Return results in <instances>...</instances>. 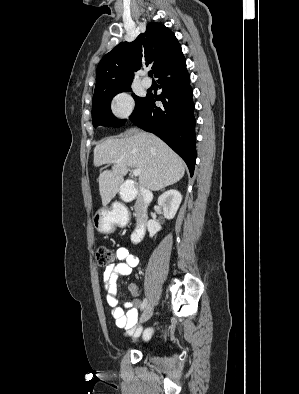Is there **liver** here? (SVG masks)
<instances>
[{"instance_id":"1","label":"liver","mask_w":299,"mask_h":394,"mask_svg":"<svg viewBox=\"0 0 299 394\" xmlns=\"http://www.w3.org/2000/svg\"><path fill=\"white\" fill-rule=\"evenodd\" d=\"M116 160V163L112 161ZM113 163L98 178L102 204L117 194L129 167L140 169L139 184L152 191L178 182L185 173L183 160L157 136L133 129L125 138H109L94 149V166Z\"/></svg>"}]
</instances>
